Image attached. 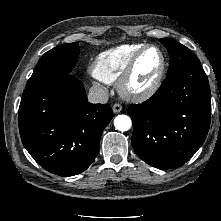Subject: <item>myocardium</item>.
<instances>
[{
  "mask_svg": "<svg viewBox=\"0 0 221 221\" xmlns=\"http://www.w3.org/2000/svg\"><path fill=\"white\" fill-rule=\"evenodd\" d=\"M156 49L160 54V67L149 85L142 89H136L131 86V80L135 73L137 64L142 57V55L148 49ZM166 70V57L162 49L154 44L144 45L141 49H139L131 58L130 62L128 63L127 67L125 68L122 75L119 77L117 81V90L119 94L130 101L133 102H142L150 97H152L160 88L163 76Z\"/></svg>",
  "mask_w": 221,
  "mask_h": 221,
  "instance_id": "f54148a6",
  "label": "myocardium"
}]
</instances>
